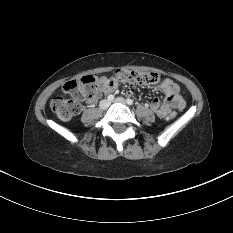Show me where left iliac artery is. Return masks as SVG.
I'll use <instances>...</instances> for the list:
<instances>
[{"instance_id":"obj_1","label":"left iliac artery","mask_w":233,"mask_h":233,"mask_svg":"<svg viewBox=\"0 0 233 233\" xmlns=\"http://www.w3.org/2000/svg\"><path fill=\"white\" fill-rule=\"evenodd\" d=\"M127 103L129 104V105H133V100H131L130 98H127Z\"/></svg>"}]
</instances>
